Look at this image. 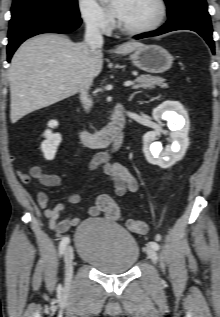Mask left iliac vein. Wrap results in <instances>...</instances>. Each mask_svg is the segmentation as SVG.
I'll return each instance as SVG.
<instances>
[{"mask_svg": "<svg viewBox=\"0 0 220 317\" xmlns=\"http://www.w3.org/2000/svg\"><path fill=\"white\" fill-rule=\"evenodd\" d=\"M146 253L148 257L152 260L153 263L157 262L158 256L154 248H152L150 245L146 246Z\"/></svg>", "mask_w": 220, "mask_h": 317, "instance_id": "1", "label": "left iliac vein"}]
</instances>
